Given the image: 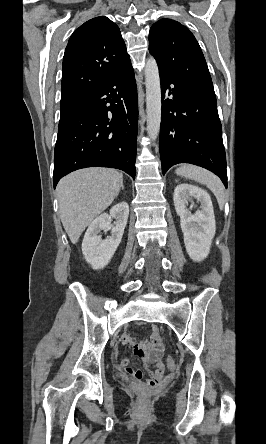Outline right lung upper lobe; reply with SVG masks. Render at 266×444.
Instances as JSON below:
<instances>
[{
    "label": "right lung upper lobe",
    "mask_w": 266,
    "mask_h": 444,
    "mask_svg": "<svg viewBox=\"0 0 266 444\" xmlns=\"http://www.w3.org/2000/svg\"><path fill=\"white\" fill-rule=\"evenodd\" d=\"M129 61L119 27L105 16L88 20L67 44L61 101L83 98Z\"/></svg>",
    "instance_id": "right-lung-upper-lobe-1"
}]
</instances>
